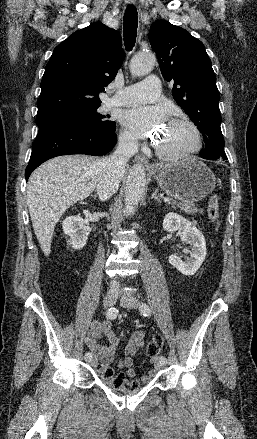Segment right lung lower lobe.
Listing matches in <instances>:
<instances>
[{"label":"right lung lower lobe","instance_id":"1","mask_svg":"<svg viewBox=\"0 0 257 439\" xmlns=\"http://www.w3.org/2000/svg\"><path fill=\"white\" fill-rule=\"evenodd\" d=\"M117 141L114 131L94 128L73 121H55L39 126L32 153L25 171L30 174L46 160L68 154L105 155Z\"/></svg>","mask_w":257,"mask_h":439}]
</instances>
